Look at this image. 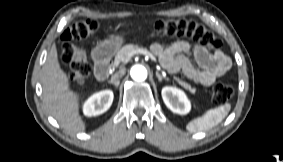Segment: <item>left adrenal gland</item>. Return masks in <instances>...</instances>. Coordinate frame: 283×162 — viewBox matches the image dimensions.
<instances>
[{"instance_id": "1", "label": "left adrenal gland", "mask_w": 283, "mask_h": 162, "mask_svg": "<svg viewBox=\"0 0 283 162\" xmlns=\"http://www.w3.org/2000/svg\"><path fill=\"white\" fill-rule=\"evenodd\" d=\"M156 76L158 78V80L161 82L163 79L165 80H169L168 77L162 76L158 73V71H156Z\"/></svg>"}]
</instances>
